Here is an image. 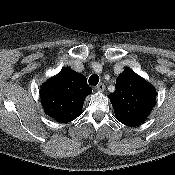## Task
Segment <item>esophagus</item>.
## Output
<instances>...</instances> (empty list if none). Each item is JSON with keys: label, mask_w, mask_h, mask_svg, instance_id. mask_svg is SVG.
Returning <instances> with one entry per match:
<instances>
[{"label": "esophagus", "mask_w": 175, "mask_h": 175, "mask_svg": "<svg viewBox=\"0 0 175 175\" xmlns=\"http://www.w3.org/2000/svg\"><path fill=\"white\" fill-rule=\"evenodd\" d=\"M98 92H103L105 90V85L103 83H99L96 88Z\"/></svg>", "instance_id": "esophagus-1"}]
</instances>
